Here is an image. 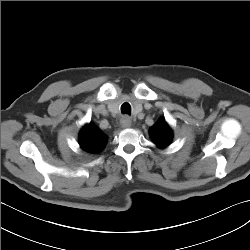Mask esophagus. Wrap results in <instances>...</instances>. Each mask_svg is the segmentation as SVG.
<instances>
[{"mask_svg":"<svg viewBox=\"0 0 250 250\" xmlns=\"http://www.w3.org/2000/svg\"><path fill=\"white\" fill-rule=\"evenodd\" d=\"M120 124L123 128H129L131 126V118L129 116H123Z\"/></svg>","mask_w":250,"mask_h":250,"instance_id":"esophagus-1","label":"esophagus"}]
</instances>
